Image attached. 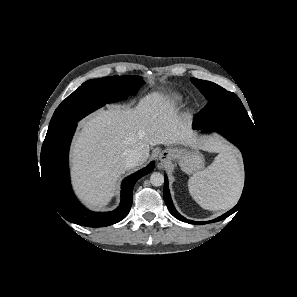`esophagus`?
Listing matches in <instances>:
<instances>
[{
  "instance_id": "esophagus-1",
  "label": "esophagus",
  "mask_w": 297,
  "mask_h": 297,
  "mask_svg": "<svg viewBox=\"0 0 297 297\" xmlns=\"http://www.w3.org/2000/svg\"><path fill=\"white\" fill-rule=\"evenodd\" d=\"M170 155H171V152L169 150H165L160 154L159 158L161 160H165V158L169 157Z\"/></svg>"
}]
</instances>
